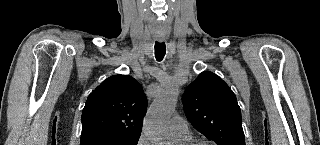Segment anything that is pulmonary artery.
I'll return each instance as SVG.
<instances>
[{
	"label": "pulmonary artery",
	"instance_id": "obj_1",
	"mask_svg": "<svg viewBox=\"0 0 320 145\" xmlns=\"http://www.w3.org/2000/svg\"><path fill=\"white\" fill-rule=\"evenodd\" d=\"M170 129L177 138L190 137L189 124L186 119L174 116L170 122Z\"/></svg>",
	"mask_w": 320,
	"mask_h": 145
}]
</instances>
